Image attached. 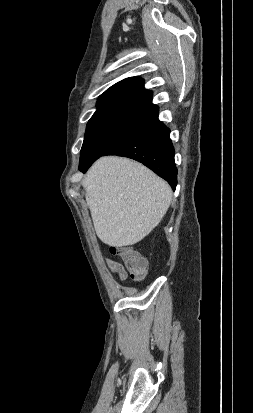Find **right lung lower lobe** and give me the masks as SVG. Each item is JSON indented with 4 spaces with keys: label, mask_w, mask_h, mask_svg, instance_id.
I'll return each instance as SVG.
<instances>
[{
    "label": "right lung lower lobe",
    "mask_w": 253,
    "mask_h": 413,
    "mask_svg": "<svg viewBox=\"0 0 253 413\" xmlns=\"http://www.w3.org/2000/svg\"><path fill=\"white\" fill-rule=\"evenodd\" d=\"M169 133L170 130L158 120L157 113L102 156L118 155L137 160L165 179L175 190L177 169L174 162L175 151ZM94 161L79 165L80 171L86 172Z\"/></svg>",
    "instance_id": "obj_1"
}]
</instances>
